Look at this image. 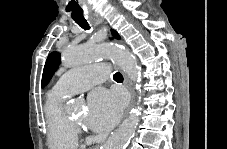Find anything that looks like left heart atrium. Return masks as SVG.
I'll return each mask as SVG.
<instances>
[{
  "mask_svg": "<svg viewBox=\"0 0 227 149\" xmlns=\"http://www.w3.org/2000/svg\"><path fill=\"white\" fill-rule=\"evenodd\" d=\"M124 106L123 96L117 91L98 89L90 96L88 124L97 132H106L119 120Z\"/></svg>",
  "mask_w": 227,
  "mask_h": 149,
  "instance_id": "39dd6f15",
  "label": "left heart atrium"
}]
</instances>
